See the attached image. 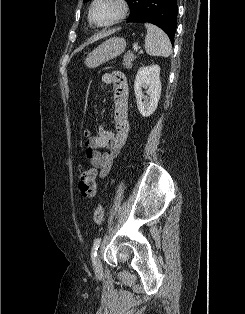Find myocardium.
<instances>
[{
    "instance_id": "obj_1",
    "label": "myocardium",
    "mask_w": 245,
    "mask_h": 314,
    "mask_svg": "<svg viewBox=\"0 0 245 314\" xmlns=\"http://www.w3.org/2000/svg\"><path fill=\"white\" fill-rule=\"evenodd\" d=\"M100 1L101 0H93L90 7H89V11H88L89 22H90V24H92L95 27L103 28V27L112 26V25L120 22L123 18H125L128 11H129V5H128L127 0H113L118 6V12L115 15V17L106 23H101V24L96 23L93 20L92 13H93V9H94L95 5Z\"/></svg>"
}]
</instances>
